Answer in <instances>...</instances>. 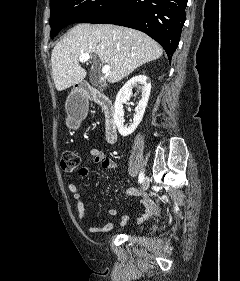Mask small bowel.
<instances>
[{"mask_svg": "<svg viewBox=\"0 0 240 281\" xmlns=\"http://www.w3.org/2000/svg\"><path fill=\"white\" fill-rule=\"evenodd\" d=\"M89 156L91 158L92 163L94 164H100L101 167L104 170L108 171H113L118 168V164L115 160L110 158L105 152L96 149V148H91L89 150ZM91 172V167L89 164H84L80 167L78 170V174L81 177H86L90 174ZM68 190L72 194L73 200L76 205V216L77 220L80 223H84L86 221V211H85V205L82 199V196L78 190V187L75 183H69L68 184ZM125 195H141L139 191L134 190L132 188H127L124 191ZM141 205L143 206V212L137 219L138 224H142L143 222L147 221L154 213L155 207L153 203L147 198L146 196H143L141 200ZM108 214L110 216H115L118 214V210L115 208L109 209ZM129 220V215H122L120 217V224L124 225L127 221ZM113 229V224L112 223H107L102 227H96V226H90L87 228V231L89 233L93 234H102L109 232Z\"/></svg>", "mask_w": 240, "mask_h": 281, "instance_id": "obj_1", "label": "small bowel"}]
</instances>
